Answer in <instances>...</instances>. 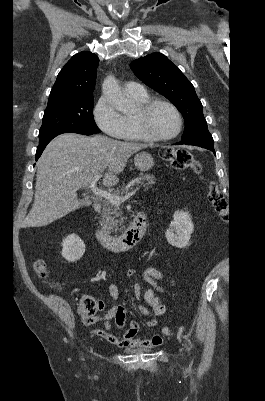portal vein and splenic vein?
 Listing matches in <instances>:
<instances>
[{"mask_svg": "<svg viewBox=\"0 0 265 401\" xmlns=\"http://www.w3.org/2000/svg\"><path fill=\"white\" fill-rule=\"evenodd\" d=\"M100 178V174H95V176H93L90 184H91V188L90 190H92V192H94V194H99V196H104V198H109V201H111V203H113V205H121L122 201H127V198H130L131 196H134V192H137L140 190L139 186H136L134 191L127 192L126 196H117V194H112V192H107V190H101V188H96V182L97 180H99Z\"/></svg>", "mask_w": 265, "mask_h": 401, "instance_id": "1", "label": "portal vein and splenic vein"}]
</instances>
